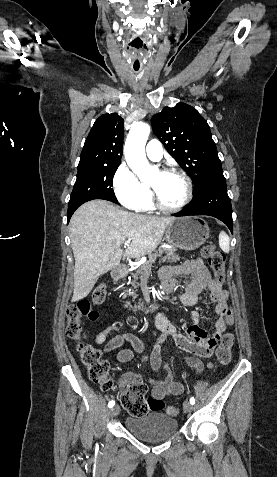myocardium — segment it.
<instances>
[{"instance_id":"1","label":"myocardium","mask_w":277,"mask_h":477,"mask_svg":"<svg viewBox=\"0 0 277 477\" xmlns=\"http://www.w3.org/2000/svg\"><path fill=\"white\" fill-rule=\"evenodd\" d=\"M162 173H169V174H175V175L180 176L185 183L186 194H185V197H184L183 201L179 205L171 207V206L165 205L162 202V200L160 199L157 191L153 187L150 186V191H151V194H152L153 203L159 210H161L163 212H167V213L179 212V211L183 210L191 202V200L193 198V183H192V180H191L190 176L185 171H183L181 169H178V168H169V169H166V170L162 171Z\"/></svg>"}]
</instances>
